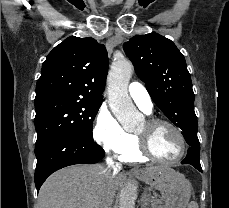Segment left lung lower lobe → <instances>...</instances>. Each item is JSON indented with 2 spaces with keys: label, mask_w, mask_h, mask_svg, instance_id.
<instances>
[{
  "label": "left lung lower lobe",
  "mask_w": 229,
  "mask_h": 208,
  "mask_svg": "<svg viewBox=\"0 0 229 208\" xmlns=\"http://www.w3.org/2000/svg\"><path fill=\"white\" fill-rule=\"evenodd\" d=\"M182 134L190 147L188 149L186 158L181 163L190 164L202 172L200 164V144L197 137V131H188Z\"/></svg>",
  "instance_id": "0a47b994"
}]
</instances>
